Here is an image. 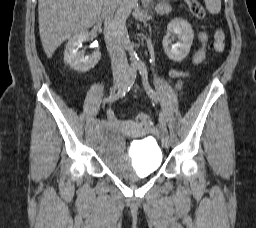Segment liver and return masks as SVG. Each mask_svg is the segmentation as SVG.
Masks as SVG:
<instances>
[{"instance_id":"liver-1","label":"liver","mask_w":256,"mask_h":228,"mask_svg":"<svg viewBox=\"0 0 256 228\" xmlns=\"http://www.w3.org/2000/svg\"><path fill=\"white\" fill-rule=\"evenodd\" d=\"M103 0H39V33L48 58L71 36L92 27Z\"/></svg>"}]
</instances>
